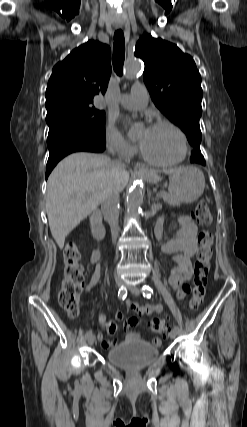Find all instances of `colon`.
<instances>
[{"mask_svg":"<svg viewBox=\"0 0 247 427\" xmlns=\"http://www.w3.org/2000/svg\"><path fill=\"white\" fill-rule=\"evenodd\" d=\"M194 215L203 230L199 234L200 246L194 264V277L188 304L190 312H196L203 304L213 243V237L209 230L212 222L209 205L205 201H200L195 208ZM79 259L80 251L78 246L74 242L67 243L63 251L64 272L58 301L60 306L71 317H76L79 313V299L84 281ZM149 326L153 332L158 334H165L170 329L169 321L161 318H152Z\"/></svg>","mask_w":247,"mask_h":427,"instance_id":"5ec220e1","label":"colon"}]
</instances>
